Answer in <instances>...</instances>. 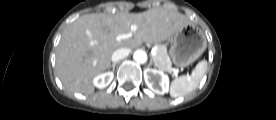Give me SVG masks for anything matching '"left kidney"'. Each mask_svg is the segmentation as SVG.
Segmentation results:
<instances>
[{
	"mask_svg": "<svg viewBox=\"0 0 276 120\" xmlns=\"http://www.w3.org/2000/svg\"><path fill=\"white\" fill-rule=\"evenodd\" d=\"M144 80L149 89L154 93L162 95L167 92L169 78L163 71L146 68L144 70Z\"/></svg>",
	"mask_w": 276,
	"mask_h": 120,
	"instance_id": "left-kidney-1",
	"label": "left kidney"
}]
</instances>
